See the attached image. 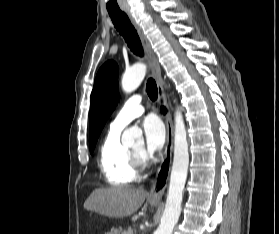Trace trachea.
I'll list each match as a JSON object with an SVG mask.
<instances>
[{"label": "trachea", "mask_w": 279, "mask_h": 234, "mask_svg": "<svg viewBox=\"0 0 279 234\" xmlns=\"http://www.w3.org/2000/svg\"><path fill=\"white\" fill-rule=\"evenodd\" d=\"M109 15L117 31L124 37L131 51L138 56H143L144 52L141 41L139 39L137 31L131 24L126 13L112 12L109 13ZM146 92L152 101H155L157 99L158 89L154 79H148L146 84Z\"/></svg>", "instance_id": "1"}]
</instances>
